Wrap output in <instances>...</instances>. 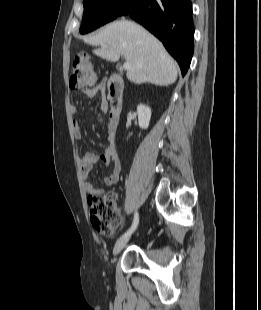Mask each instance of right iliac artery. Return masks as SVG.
<instances>
[{
    "mask_svg": "<svg viewBox=\"0 0 261 310\" xmlns=\"http://www.w3.org/2000/svg\"><path fill=\"white\" fill-rule=\"evenodd\" d=\"M138 221H139L138 213L135 212L133 223H132L131 227L129 228V230L126 233L123 234V236L131 235L135 231V229H136V227L138 225Z\"/></svg>",
    "mask_w": 261,
    "mask_h": 310,
    "instance_id": "1",
    "label": "right iliac artery"
}]
</instances>
